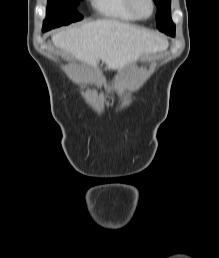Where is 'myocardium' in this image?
<instances>
[{
  "instance_id": "myocardium-1",
  "label": "myocardium",
  "mask_w": 219,
  "mask_h": 258,
  "mask_svg": "<svg viewBox=\"0 0 219 258\" xmlns=\"http://www.w3.org/2000/svg\"><path fill=\"white\" fill-rule=\"evenodd\" d=\"M151 6V11L149 15H142L139 13L137 6H136V0H128V6L130 10L133 12V14L138 17L139 19H149L152 17V15L155 13L156 5L154 0H148Z\"/></svg>"
}]
</instances>
